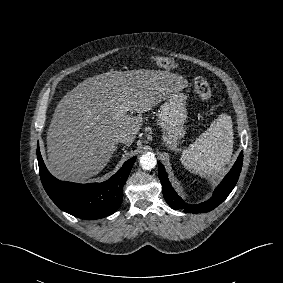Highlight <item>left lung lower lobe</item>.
<instances>
[{"label":"left lung lower lobe","mask_w":283,"mask_h":283,"mask_svg":"<svg viewBox=\"0 0 283 283\" xmlns=\"http://www.w3.org/2000/svg\"><path fill=\"white\" fill-rule=\"evenodd\" d=\"M243 163V153L241 152L237 161L233 165L230 172L225 176L222 182L216 187L213 196L201 204L189 205L185 203L180 196L177 195L175 190L172 188L164 166L161 162H158V176L162 184V192L165 198V201L173 208L177 210H184L193 213H204L209 212L220 205L231 193L235 187Z\"/></svg>","instance_id":"0a47b994"}]
</instances>
